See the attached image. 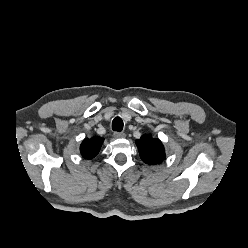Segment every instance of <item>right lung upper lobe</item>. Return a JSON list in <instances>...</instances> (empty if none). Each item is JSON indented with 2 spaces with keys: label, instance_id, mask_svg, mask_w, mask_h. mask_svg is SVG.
I'll return each mask as SVG.
<instances>
[{
  "label": "right lung upper lobe",
  "instance_id": "1",
  "mask_svg": "<svg viewBox=\"0 0 248 248\" xmlns=\"http://www.w3.org/2000/svg\"><path fill=\"white\" fill-rule=\"evenodd\" d=\"M103 141L104 139L98 136H94L90 139L86 138L80 146L81 155L85 159L94 158L98 154Z\"/></svg>",
  "mask_w": 248,
  "mask_h": 248
}]
</instances>
